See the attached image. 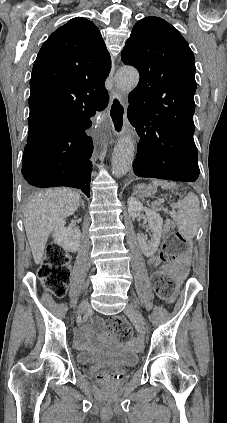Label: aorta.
<instances>
[{
    "mask_svg": "<svg viewBox=\"0 0 227 423\" xmlns=\"http://www.w3.org/2000/svg\"><path fill=\"white\" fill-rule=\"evenodd\" d=\"M139 81V73L133 67H122L115 76V83L121 91L133 90ZM135 142L131 134L122 135L112 154V173L117 177L125 175L132 166Z\"/></svg>",
    "mask_w": 227,
    "mask_h": 423,
    "instance_id": "obj_1",
    "label": "aorta"
}]
</instances>
